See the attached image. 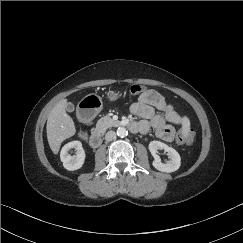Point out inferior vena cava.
I'll list each match as a JSON object with an SVG mask.
<instances>
[{
  "instance_id": "inferior-vena-cava-1",
  "label": "inferior vena cava",
  "mask_w": 243,
  "mask_h": 243,
  "mask_svg": "<svg viewBox=\"0 0 243 243\" xmlns=\"http://www.w3.org/2000/svg\"><path fill=\"white\" fill-rule=\"evenodd\" d=\"M114 139H116V133L114 131H108L105 135V140L112 141Z\"/></svg>"
}]
</instances>
